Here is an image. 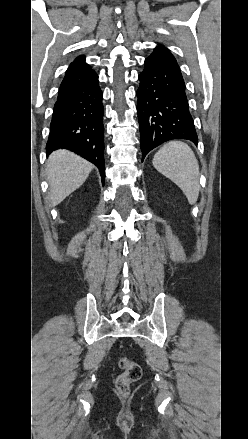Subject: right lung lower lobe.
<instances>
[{
    "label": "right lung lower lobe",
    "instance_id": "1",
    "mask_svg": "<svg viewBox=\"0 0 248 439\" xmlns=\"http://www.w3.org/2000/svg\"><path fill=\"white\" fill-rule=\"evenodd\" d=\"M102 91L88 66L66 74L54 105L46 149H69L95 164L105 181Z\"/></svg>",
    "mask_w": 248,
    "mask_h": 439
}]
</instances>
